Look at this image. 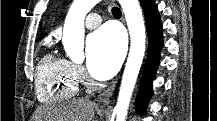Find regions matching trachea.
Returning a JSON list of instances; mask_svg holds the SVG:
<instances>
[{
    "label": "trachea",
    "mask_w": 217,
    "mask_h": 121,
    "mask_svg": "<svg viewBox=\"0 0 217 121\" xmlns=\"http://www.w3.org/2000/svg\"><path fill=\"white\" fill-rule=\"evenodd\" d=\"M112 14L113 16L117 17V16H121V10L118 7H113L112 8Z\"/></svg>",
    "instance_id": "3493384b"
}]
</instances>
